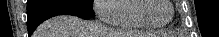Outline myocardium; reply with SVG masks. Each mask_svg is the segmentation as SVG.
Returning <instances> with one entry per match:
<instances>
[{"label": "myocardium", "mask_w": 219, "mask_h": 37, "mask_svg": "<svg viewBox=\"0 0 219 37\" xmlns=\"http://www.w3.org/2000/svg\"><path fill=\"white\" fill-rule=\"evenodd\" d=\"M147 1L148 0H136L135 1L134 8H133V14H134L135 18L139 22H141L142 24H144L145 26L150 27V28L158 29V28H162V27L167 26L172 21V19L174 17V13H175L172 1L166 0L169 7H170L171 14H170V17L165 22H162V23L152 22L144 16L143 11L146 8L145 3Z\"/></svg>", "instance_id": "1"}]
</instances>
